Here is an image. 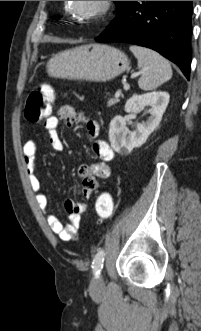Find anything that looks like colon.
<instances>
[{"mask_svg":"<svg viewBox=\"0 0 201 331\" xmlns=\"http://www.w3.org/2000/svg\"><path fill=\"white\" fill-rule=\"evenodd\" d=\"M53 100V91L48 86L31 91L25 104L24 114L26 119L32 123L46 120L51 114ZM113 210L112 197L108 193H101L95 204V211L99 221L109 219L113 214Z\"/></svg>","mask_w":201,"mask_h":331,"instance_id":"5ec220e1","label":"colon"}]
</instances>
